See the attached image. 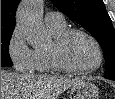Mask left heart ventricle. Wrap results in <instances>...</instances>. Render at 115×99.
Wrapping results in <instances>:
<instances>
[{"mask_svg":"<svg viewBox=\"0 0 115 99\" xmlns=\"http://www.w3.org/2000/svg\"><path fill=\"white\" fill-rule=\"evenodd\" d=\"M64 61L75 68H89L95 65L97 53L94 45L85 36H70L62 48Z\"/></svg>","mask_w":115,"mask_h":99,"instance_id":"1","label":"left heart ventricle"}]
</instances>
